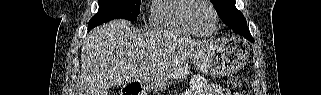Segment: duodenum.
<instances>
[{
  "mask_svg": "<svg viewBox=\"0 0 321 95\" xmlns=\"http://www.w3.org/2000/svg\"><path fill=\"white\" fill-rule=\"evenodd\" d=\"M141 83H142V81H141ZM128 95H131V93H128Z\"/></svg>",
  "mask_w": 321,
  "mask_h": 95,
  "instance_id": "410a0bca",
  "label": "duodenum"
}]
</instances>
